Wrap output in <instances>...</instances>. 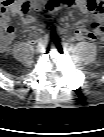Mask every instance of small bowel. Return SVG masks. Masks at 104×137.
I'll return each instance as SVG.
<instances>
[{"instance_id":"small-bowel-1","label":"small bowel","mask_w":104,"mask_h":137,"mask_svg":"<svg viewBox=\"0 0 104 137\" xmlns=\"http://www.w3.org/2000/svg\"><path fill=\"white\" fill-rule=\"evenodd\" d=\"M44 0H34L37 6L43 4ZM60 6H73L79 9L82 13H91L94 16V23L92 24V30H88L84 27L77 28L74 31V37L78 40L89 39L95 40L102 36L101 20L103 17V8L100 0H59L58 7ZM21 16L22 23L24 25L32 24L35 19L32 15L28 14L27 11L19 12ZM0 22L3 26H9V16L6 11H2L0 16ZM14 39V32L6 35L0 41V48L3 52H8L10 50L11 43Z\"/></svg>"}]
</instances>
